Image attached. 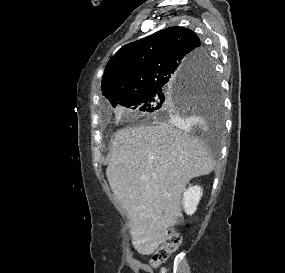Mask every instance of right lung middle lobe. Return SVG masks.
<instances>
[{
  "label": "right lung middle lobe",
  "mask_w": 285,
  "mask_h": 273,
  "mask_svg": "<svg viewBox=\"0 0 285 273\" xmlns=\"http://www.w3.org/2000/svg\"><path fill=\"white\" fill-rule=\"evenodd\" d=\"M206 64L201 72L170 85H158L119 103L158 118L177 119L192 114L211 118L216 132L222 128L220 82L205 50ZM117 104L112 105L115 107Z\"/></svg>",
  "instance_id": "1"
}]
</instances>
